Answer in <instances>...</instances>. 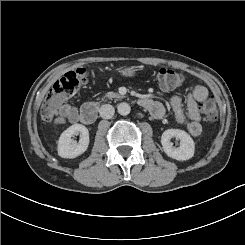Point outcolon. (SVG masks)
Segmentation results:
<instances>
[{
	"label": "colon",
	"mask_w": 245,
	"mask_h": 245,
	"mask_svg": "<svg viewBox=\"0 0 245 245\" xmlns=\"http://www.w3.org/2000/svg\"><path fill=\"white\" fill-rule=\"evenodd\" d=\"M87 79L88 71L85 68L69 71L58 79L49 89L42 103V119L46 122H54L60 106L72 98L87 82ZM156 79L164 90L175 89L183 81L179 73L169 68L157 70ZM200 111L208 121H215L217 119V106L212 97L202 101Z\"/></svg>",
	"instance_id": "1"
}]
</instances>
